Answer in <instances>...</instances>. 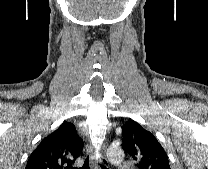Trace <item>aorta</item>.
<instances>
[{"label": "aorta", "instance_id": "762f6f07", "mask_svg": "<svg viewBox=\"0 0 208 169\" xmlns=\"http://www.w3.org/2000/svg\"><path fill=\"white\" fill-rule=\"evenodd\" d=\"M108 157L111 162L118 163L123 159V151L118 147H110L108 149Z\"/></svg>", "mask_w": 208, "mask_h": 169}]
</instances>
